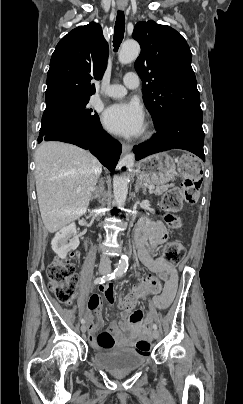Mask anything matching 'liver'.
Segmentation results:
<instances>
[{
    "label": "liver",
    "mask_w": 243,
    "mask_h": 404,
    "mask_svg": "<svg viewBox=\"0 0 243 404\" xmlns=\"http://www.w3.org/2000/svg\"><path fill=\"white\" fill-rule=\"evenodd\" d=\"M35 164L41 218L54 234L88 210L102 166L90 152L63 142H43Z\"/></svg>",
    "instance_id": "obj_1"
}]
</instances>
